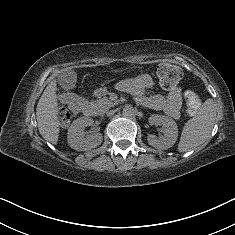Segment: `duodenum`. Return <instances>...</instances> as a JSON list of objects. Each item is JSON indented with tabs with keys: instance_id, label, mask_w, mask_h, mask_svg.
Returning <instances> with one entry per match:
<instances>
[{
	"instance_id": "1",
	"label": "duodenum",
	"mask_w": 235,
	"mask_h": 235,
	"mask_svg": "<svg viewBox=\"0 0 235 235\" xmlns=\"http://www.w3.org/2000/svg\"><path fill=\"white\" fill-rule=\"evenodd\" d=\"M84 105L86 106V109H87L88 113L92 114L94 110H93V107L91 106V103L88 102V101H85Z\"/></svg>"
}]
</instances>
